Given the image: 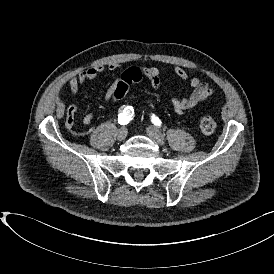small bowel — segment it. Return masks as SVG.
<instances>
[{"mask_svg":"<svg viewBox=\"0 0 274 274\" xmlns=\"http://www.w3.org/2000/svg\"><path fill=\"white\" fill-rule=\"evenodd\" d=\"M175 75L183 80L188 81L191 91L183 97L171 96L170 103L177 114H185L193 110L197 105L206 101L213 93L210 86L203 82L200 77H190L188 72L179 65H173ZM119 71L121 66L118 63L110 62L106 66H94L82 71L79 75L73 76L69 80L70 91L73 96H77L80 87L87 81L95 80L104 70ZM144 75L149 79L153 89L157 90L161 85V70L156 66H146L143 68ZM121 77L114 83L108 86L104 94V100L109 103L114 98V93L118 88V83ZM76 106V105H75ZM94 117L92 114H87L83 117V124L89 126L93 123Z\"/></svg>","mask_w":274,"mask_h":274,"instance_id":"1","label":"small bowel"}]
</instances>
